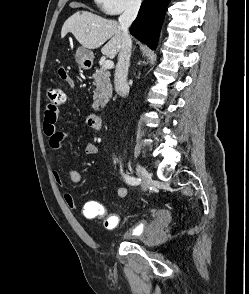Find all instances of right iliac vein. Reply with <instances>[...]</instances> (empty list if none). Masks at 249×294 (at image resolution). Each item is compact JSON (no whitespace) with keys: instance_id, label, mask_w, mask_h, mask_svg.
I'll return each mask as SVG.
<instances>
[{"instance_id":"right-iliac-vein-1","label":"right iliac vein","mask_w":249,"mask_h":294,"mask_svg":"<svg viewBox=\"0 0 249 294\" xmlns=\"http://www.w3.org/2000/svg\"><path fill=\"white\" fill-rule=\"evenodd\" d=\"M137 174L142 180V185L145 191H148L152 184V175L148 172V170L143 167L141 164L137 163L136 165Z\"/></svg>"}]
</instances>
